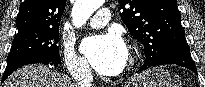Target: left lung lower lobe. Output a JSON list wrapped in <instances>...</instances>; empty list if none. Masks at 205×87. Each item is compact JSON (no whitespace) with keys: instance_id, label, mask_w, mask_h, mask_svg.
Returning <instances> with one entry per match:
<instances>
[{"instance_id":"obj_1","label":"left lung lower lobe","mask_w":205,"mask_h":87,"mask_svg":"<svg viewBox=\"0 0 205 87\" xmlns=\"http://www.w3.org/2000/svg\"><path fill=\"white\" fill-rule=\"evenodd\" d=\"M165 64H176L190 69L195 74L197 73L195 63L193 62L190 55L189 46L185 41L177 43L172 47H170L168 51L164 54V56L154 65L143 64L142 67L138 70V72L146 70L150 67L165 65Z\"/></svg>"}]
</instances>
